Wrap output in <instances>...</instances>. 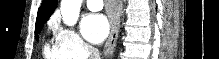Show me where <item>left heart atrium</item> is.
Returning <instances> with one entry per match:
<instances>
[{"instance_id": "left-heart-atrium-1", "label": "left heart atrium", "mask_w": 219, "mask_h": 59, "mask_svg": "<svg viewBox=\"0 0 219 59\" xmlns=\"http://www.w3.org/2000/svg\"><path fill=\"white\" fill-rule=\"evenodd\" d=\"M81 31L87 41L93 44H99L109 33L108 20L103 14H87L82 19Z\"/></svg>"}]
</instances>
